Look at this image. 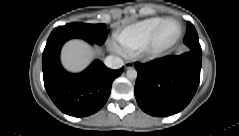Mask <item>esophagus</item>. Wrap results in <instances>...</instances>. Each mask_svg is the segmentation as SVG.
I'll list each match as a JSON object with an SVG mask.
<instances>
[{
	"label": "esophagus",
	"instance_id": "1",
	"mask_svg": "<svg viewBox=\"0 0 239 136\" xmlns=\"http://www.w3.org/2000/svg\"><path fill=\"white\" fill-rule=\"evenodd\" d=\"M131 65H132L131 63H127L126 67L129 68V67H131Z\"/></svg>",
	"mask_w": 239,
	"mask_h": 136
}]
</instances>
